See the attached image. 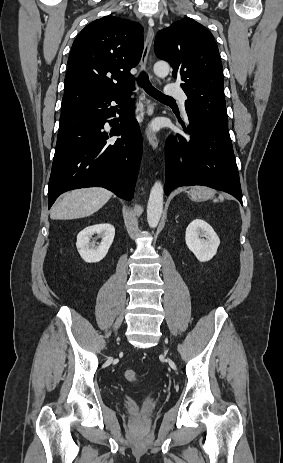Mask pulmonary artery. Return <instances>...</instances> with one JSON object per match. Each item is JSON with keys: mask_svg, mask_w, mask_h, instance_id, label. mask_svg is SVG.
Returning <instances> with one entry per match:
<instances>
[{"mask_svg": "<svg viewBox=\"0 0 283 463\" xmlns=\"http://www.w3.org/2000/svg\"><path fill=\"white\" fill-rule=\"evenodd\" d=\"M165 95L171 98L179 99L182 104H184L185 100L187 99L186 94L182 89L179 87L174 86L173 84H168L164 89Z\"/></svg>", "mask_w": 283, "mask_h": 463, "instance_id": "obj_1", "label": "pulmonary artery"}]
</instances>
